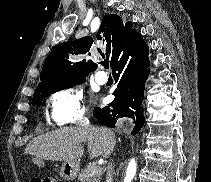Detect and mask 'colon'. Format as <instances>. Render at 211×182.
Here are the masks:
<instances>
[{"label":"colon","instance_id":"5ec220e1","mask_svg":"<svg viewBox=\"0 0 211 182\" xmlns=\"http://www.w3.org/2000/svg\"><path fill=\"white\" fill-rule=\"evenodd\" d=\"M35 182H59L56 178H45V179H38Z\"/></svg>","mask_w":211,"mask_h":182}]
</instances>
